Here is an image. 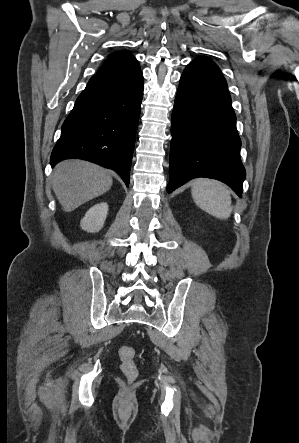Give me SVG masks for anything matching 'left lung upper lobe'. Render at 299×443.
Returning a JSON list of instances; mask_svg holds the SVG:
<instances>
[{"label": "left lung upper lobe", "mask_w": 299, "mask_h": 443, "mask_svg": "<svg viewBox=\"0 0 299 443\" xmlns=\"http://www.w3.org/2000/svg\"><path fill=\"white\" fill-rule=\"evenodd\" d=\"M191 63L198 64L203 67L220 72L219 67L213 61H211L209 58H206V57H198L194 61H192Z\"/></svg>", "instance_id": "obj_1"}]
</instances>
